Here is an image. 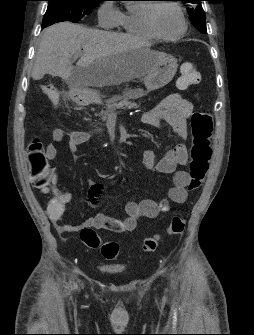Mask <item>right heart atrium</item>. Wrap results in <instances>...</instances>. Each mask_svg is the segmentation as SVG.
Returning <instances> with one entry per match:
<instances>
[{
  "mask_svg": "<svg viewBox=\"0 0 254 335\" xmlns=\"http://www.w3.org/2000/svg\"><path fill=\"white\" fill-rule=\"evenodd\" d=\"M99 24L102 27L110 28L118 25L121 11L111 1H105L101 4L97 12Z\"/></svg>",
  "mask_w": 254,
  "mask_h": 335,
  "instance_id": "right-heart-atrium-1",
  "label": "right heart atrium"
}]
</instances>
